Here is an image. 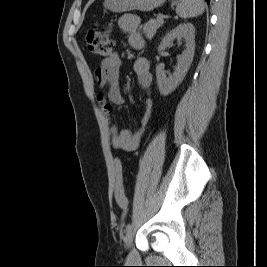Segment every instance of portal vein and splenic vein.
<instances>
[{"instance_id": "18ae733b", "label": "portal vein and splenic vein", "mask_w": 267, "mask_h": 267, "mask_svg": "<svg viewBox=\"0 0 267 267\" xmlns=\"http://www.w3.org/2000/svg\"><path fill=\"white\" fill-rule=\"evenodd\" d=\"M157 18L158 19H163V18H165V15L164 14H159Z\"/></svg>"}]
</instances>
